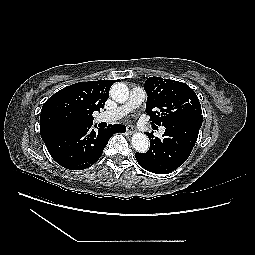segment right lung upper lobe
Instances as JSON below:
<instances>
[{
    "label": "right lung upper lobe",
    "mask_w": 255,
    "mask_h": 255,
    "mask_svg": "<svg viewBox=\"0 0 255 255\" xmlns=\"http://www.w3.org/2000/svg\"><path fill=\"white\" fill-rule=\"evenodd\" d=\"M115 80L80 82L67 86L43 105L40 115V134L43 141L57 130L93 123L94 111H100L109 97Z\"/></svg>",
    "instance_id": "obj_1"
}]
</instances>
